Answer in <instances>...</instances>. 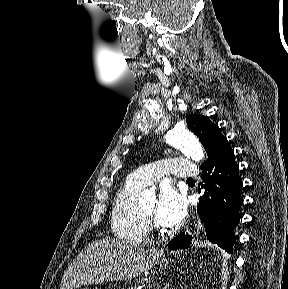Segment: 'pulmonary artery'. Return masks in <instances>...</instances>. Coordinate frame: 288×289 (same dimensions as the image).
<instances>
[{
  "mask_svg": "<svg viewBox=\"0 0 288 289\" xmlns=\"http://www.w3.org/2000/svg\"><path fill=\"white\" fill-rule=\"evenodd\" d=\"M164 175L190 178L196 177L198 170L196 165L187 159L168 157L136 169L127 177V181L144 188Z\"/></svg>",
  "mask_w": 288,
  "mask_h": 289,
  "instance_id": "1",
  "label": "pulmonary artery"
}]
</instances>
